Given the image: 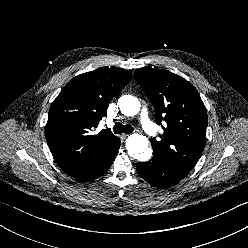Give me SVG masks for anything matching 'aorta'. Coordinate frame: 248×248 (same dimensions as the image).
<instances>
[{
  "mask_svg": "<svg viewBox=\"0 0 248 248\" xmlns=\"http://www.w3.org/2000/svg\"><path fill=\"white\" fill-rule=\"evenodd\" d=\"M120 111L126 116H134L140 111L139 100L131 95H123L118 100ZM128 154L139 161H148L152 156L149 140L140 134H132L126 140Z\"/></svg>",
  "mask_w": 248,
  "mask_h": 248,
  "instance_id": "762f6f07",
  "label": "aorta"
}]
</instances>
